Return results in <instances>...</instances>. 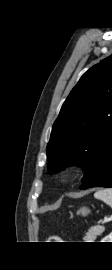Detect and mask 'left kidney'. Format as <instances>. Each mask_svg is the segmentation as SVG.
Listing matches in <instances>:
<instances>
[{"label":"left kidney","mask_w":112,"mask_h":270,"mask_svg":"<svg viewBox=\"0 0 112 270\" xmlns=\"http://www.w3.org/2000/svg\"><path fill=\"white\" fill-rule=\"evenodd\" d=\"M101 242H112V232L105 237Z\"/></svg>","instance_id":"1"}]
</instances>
